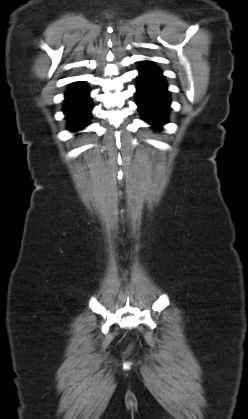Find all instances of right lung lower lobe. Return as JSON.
I'll use <instances>...</instances> for the list:
<instances>
[{
    "label": "right lung lower lobe",
    "mask_w": 248,
    "mask_h": 419,
    "mask_svg": "<svg viewBox=\"0 0 248 419\" xmlns=\"http://www.w3.org/2000/svg\"><path fill=\"white\" fill-rule=\"evenodd\" d=\"M65 97L63 111L69 121L68 129L77 131L87 126L93 108L89 89L82 83H73Z\"/></svg>",
    "instance_id": "98d812e1"
}]
</instances>
